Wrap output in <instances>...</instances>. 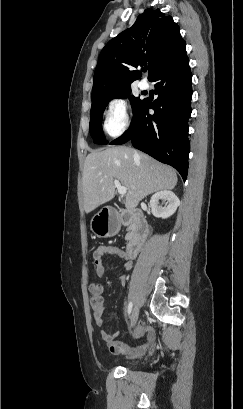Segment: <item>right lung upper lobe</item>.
<instances>
[{"mask_svg":"<svg viewBox=\"0 0 243 409\" xmlns=\"http://www.w3.org/2000/svg\"><path fill=\"white\" fill-rule=\"evenodd\" d=\"M185 46L179 26L159 9H146L132 27L111 39L102 49L93 78L92 101L130 88L141 77L134 70L148 64L155 73Z\"/></svg>","mask_w":243,"mask_h":409,"instance_id":"right-lung-upper-lobe-1","label":"right lung upper lobe"}]
</instances>
